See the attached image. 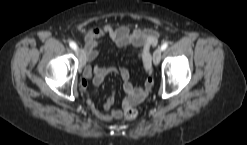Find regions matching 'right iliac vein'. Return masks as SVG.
I'll use <instances>...</instances> for the list:
<instances>
[{"label":"right iliac vein","instance_id":"1","mask_svg":"<svg viewBox=\"0 0 247 145\" xmlns=\"http://www.w3.org/2000/svg\"><path fill=\"white\" fill-rule=\"evenodd\" d=\"M77 54L79 56V60H80V67L83 68L85 63H86V60H85V52L82 48H79L77 50Z\"/></svg>","mask_w":247,"mask_h":145}]
</instances>
